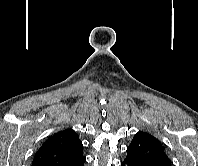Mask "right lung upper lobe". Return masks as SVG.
Here are the masks:
<instances>
[{"instance_id":"obj_1","label":"right lung upper lobe","mask_w":198,"mask_h":166,"mask_svg":"<svg viewBox=\"0 0 198 166\" xmlns=\"http://www.w3.org/2000/svg\"><path fill=\"white\" fill-rule=\"evenodd\" d=\"M82 142L72 129L48 138L36 152L32 166H70L85 159Z\"/></svg>"}]
</instances>
